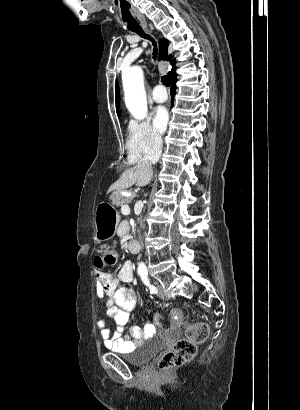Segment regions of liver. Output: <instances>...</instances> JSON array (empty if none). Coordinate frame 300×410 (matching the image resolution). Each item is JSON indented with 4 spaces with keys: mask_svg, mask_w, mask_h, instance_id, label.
Returning a JSON list of instances; mask_svg holds the SVG:
<instances>
[{
    "mask_svg": "<svg viewBox=\"0 0 300 410\" xmlns=\"http://www.w3.org/2000/svg\"><path fill=\"white\" fill-rule=\"evenodd\" d=\"M152 176V168H144L136 165L126 169L108 191L127 189L134 184L138 187L146 186L150 183Z\"/></svg>",
    "mask_w": 300,
    "mask_h": 410,
    "instance_id": "1",
    "label": "liver"
}]
</instances>
